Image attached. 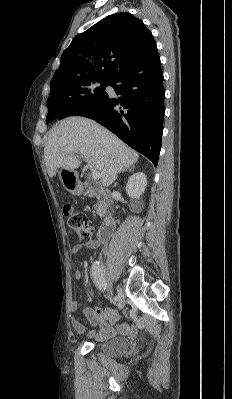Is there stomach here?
I'll return each instance as SVG.
<instances>
[{"instance_id": "1", "label": "stomach", "mask_w": 232, "mask_h": 399, "mask_svg": "<svg viewBox=\"0 0 232 399\" xmlns=\"http://www.w3.org/2000/svg\"><path fill=\"white\" fill-rule=\"evenodd\" d=\"M59 178L65 190H68V192H71V194H75V192H81L82 186L79 182L77 172H70V170H65V168H62V170L59 172Z\"/></svg>"}]
</instances>
